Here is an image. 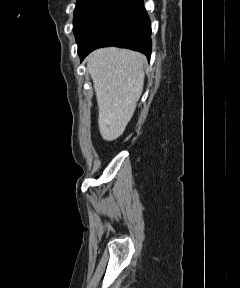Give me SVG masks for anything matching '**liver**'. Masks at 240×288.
I'll list each match as a JSON object with an SVG mask.
<instances>
[{
    "instance_id": "1",
    "label": "liver",
    "mask_w": 240,
    "mask_h": 288,
    "mask_svg": "<svg viewBox=\"0 0 240 288\" xmlns=\"http://www.w3.org/2000/svg\"><path fill=\"white\" fill-rule=\"evenodd\" d=\"M146 57L116 47L101 48L87 57L99 109L102 138L113 141L126 129L142 94Z\"/></svg>"
}]
</instances>
